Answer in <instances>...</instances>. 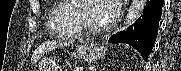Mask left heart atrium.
<instances>
[{"label":"left heart atrium","mask_w":181,"mask_h":71,"mask_svg":"<svg viewBox=\"0 0 181 71\" xmlns=\"http://www.w3.org/2000/svg\"><path fill=\"white\" fill-rule=\"evenodd\" d=\"M106 6L104 8L103 18L105 23L113 20L118 13V0H105Z\"/></svg>","instance_id":"obj_1"}]
</instances>
